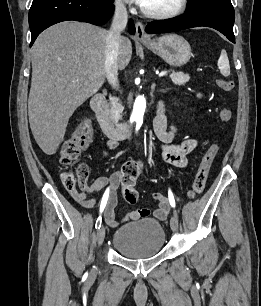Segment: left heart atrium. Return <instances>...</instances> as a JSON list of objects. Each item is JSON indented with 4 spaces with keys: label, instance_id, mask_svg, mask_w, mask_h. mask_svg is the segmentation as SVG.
Masks as SVG:
<instances>
[{
    "label": "left heart atrium",
    "instance_id": "1",
    "mask_svg": "<svg viewBox=\"0 0 261 306\" xmlns=\"http://www.w3.org/2000/svg\"><path fill=\"white\" fill-rule=\"evenodd\" d=\"M127 1L130 2V3H136V4L141 5V6H143L146 2V0H127Z\"/></svg>",
    "mask_w": 261,
    "mask_h": 306
}]
</instances>
